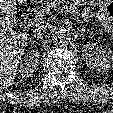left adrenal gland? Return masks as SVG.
Returning a JSON list of instances; mask_svg holds the SVG:
<instances>
[{
	"label": "left adrenal gland",
	"instance_id": "obj_1",
	"mask_svg": "<svg viewBox=\"0 0 113 113\" xmlns=\"http://www.w3.org/2000/svg\"><path fill=\"white\" fill-rule=\"evenodd\" d=\"M84 32H85V31H84L83 29H82V30H79L76 35H77V36L84 35Z\"/></svg>",
	"mask_w": 113,
	"mask_h": 113
}]
</instances>
